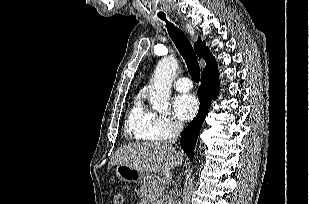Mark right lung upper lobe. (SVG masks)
<instances>
[{"instance_id":"right-lung-upper-lobe-1","label":"right lung upper lobe","mask_w":309,"mask_h":204,"mask_svg":"<svg viewBox=\"0 0 309 204\" xmlns=\"http://www.w3.org/2000/svg\"><path fill=\"white\" fill-rule=\"evenodd\" d=\"M194 48L198 57L203 58L206 61V67L204 68L203 72L214 69L217 67V63L210 53L208 47L205 46V42L201 41L200 37L198 38L197 42L194 44Z\"/></svg>"}]
</instances>
